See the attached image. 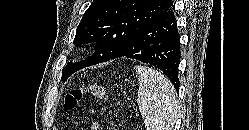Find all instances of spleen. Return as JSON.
I'll list each match as a JSON object with an SVG mask.
<instances>
[{
    "mask_svg": "<svg viewBox=\"0 0 249 130\" xmlns=\"http://www.w3.org/2000/svg\"><path fill=\"white\" fill-rule=\"evenodd\" d=\"M139 90L137 103L147 130H172L178 115L175 88L161 72L135 66Z\"/></svg>",
    "mask_w": 249,
    "mask_h": 130,
    "instance_id": "obj_1",
    "label": "spleen"
}]
</instances>
